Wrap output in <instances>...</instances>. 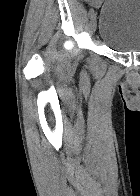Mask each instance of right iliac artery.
<instances>
[{
    "label": "right iliac artery",
    "instance_id": "right-iliac-artery-1",
    "mask_svg": "<svg viewBox=\"0 0 140 196\" xmlns=\"http://www.w3.org/2000/svg\"><path fill=\"white\" fill-rule=\"evenodd\" d=\"M93 14H94V10L91 9V10L89 11V16L91 17Z\"/></svg>",
    "mask_w": 140,
    "mask_h": 196
}]
</instances>
